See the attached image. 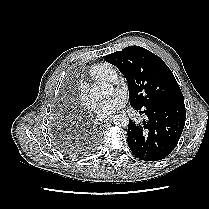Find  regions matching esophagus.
I'll return each instance as SVG.
<instances>
[{"mask_svg":"<svg viewBox=\"0 0 209 209\" xmlns=\"http://www.w3.org/2000/svg\"><path fill=\"white\" fill-rule=\"evenodd\" d=\"M108 123H109L108 120H107V121H102V122L100 123V125L104 127V126H106Z\"/></svg>","mask_w":209,"mask_h":209,"instance_id":"34e87169","label":"esophagus"}]
</instances>
